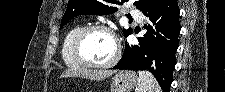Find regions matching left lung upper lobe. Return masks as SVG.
<instances>
[{"instance_id":"5c2ea615","label":"left lung upper lobe","mask_w":225,"mask_h":92,"mask_svg":"<svg viewBox=\"0 0 225 92\" xmlns=\"http://www.w3.org/2000/svg\"><path fill=\"white\" fill-rule=\"evenodd\" d=\"M128 0H70L61 20V26L79 15H108L117 11L115 5H122ZM160 0H136L134 5L143 13L153 8ZM124 36L132 33V29L123 30Z\"/></svg>"}]
</instances>
